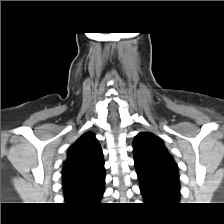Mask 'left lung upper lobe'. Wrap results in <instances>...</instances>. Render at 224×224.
<instances>
[{"mask_svg":"<svg viewBox=\"0 0 224 224\" xmlns=\"http://www.w3.org/2000/svg\"><path fill=\"white\" fill-rule=\"evenodd\" d=\"M133 152L137 172L146 176L179 179L177 164L155 135L139 133L134 139Z\"/></svg>","mask_w":224,"mask_h":224,"instance_id":"5c2ea615","label":"left lung upper lobe"}]
</instances>
